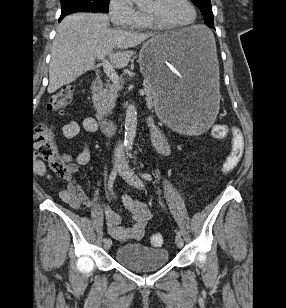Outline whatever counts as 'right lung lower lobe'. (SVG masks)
<instances>
[{
	"label": "right lung lower lobe",
	"instance_id": "right-lung-lower-lobe-1",
	"mask_svg": "<svg viewBox=\"0 0 286 308\" xmlns=\"http://www.w3.org/2000/svg\"><path fill=\"white\" fill-rule=\"evenodd\" d=\"M63 17H64V15H61L59 20H61Z\"/></svg>",
	"mask_w": 286,
	"mask_h": 308
}]
</instances>
